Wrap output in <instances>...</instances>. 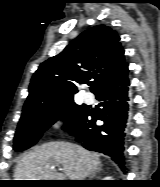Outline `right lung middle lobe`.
Wrapping results in <instances>:
<instances>
[{
  "instance_id": "1",
  "label": "right lung middle lobe",
  "mask_w": 160,
  "mask_h": 187,
  "mask_svg": "<svg viewBox=\"0 0 160 187\" xmlns=\"http://www.w3.org/2000/svg\"><path fill=\"white\" fill-rule=\"evenodd\" d=\"M88 109L76 105L72 100L59 103L47 109L36 112L22 113L16 135L14 149L22 151L34 145L57 119L66 123L64 129L72 131L86 116Z\"/></svg>"
}]
</instances>
